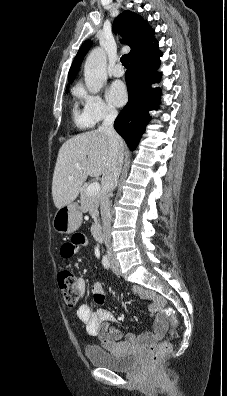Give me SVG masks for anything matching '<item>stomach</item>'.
I'll use <instances>...</instances> for the list:
<instances>
[{"label": "stomach", "mask_w": 227, "mask_h": 396, "mask_svg": "<svg viewBox=\"0 0 227 396\" xmlns=\"http://www.w3.org/2000/svg\"><path fill=\"white\" fill-rule=\"evenodd\" d=\"M82 222V213L77 204H68L57 210L53 218V228L61 234L76 231Z\"/></svg>", "instance_id": "stomach-1"}]
</instances>
